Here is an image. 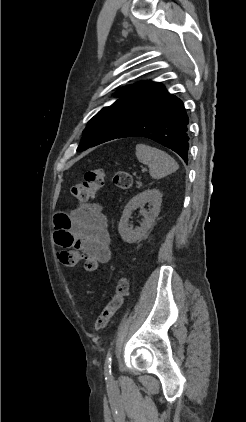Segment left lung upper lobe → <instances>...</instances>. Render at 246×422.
<instances>
[{"label": "left lung upper lobe", "mask_w": 246, "mask_h": 422, "mask_svg": "<svg viewBox=\"0 0 246 422\" xmlns=\"http://www.w3.org/2000/svg\"><path fill=\"white\" fill-rule=\"evenodd\" d=\"M167 92L159 82L142 81L122 88L111 106L102 108L87 123L77 151L118 138L148 112Z\"/></svg>", "instance_id": "1"}]
</instances>
